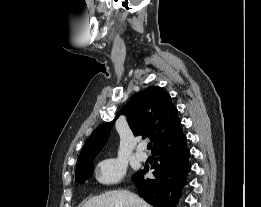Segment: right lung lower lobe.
I'll return each mask as SVG.
<instances>
[{"label": "right lung lower lobe", "instance_id": "98d812e1", "mask_svg": "<svg viewBox=\"0 0 261 207\" xmlns=\"http://www.w3.org/2000/svg\"><path fill=\"white\" fill-rule=\"evenodd\" d=\"M189 155L186 136L169 146L155 150L154 164L151 167L154 178H143L149 166H145L144 170L132 177L139 195L155 207H176L191 169L188 163Z\"/></svg>", "mask_w": 261, "mask_h": 207}]
</instances>
